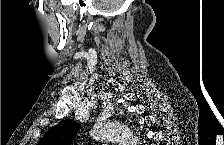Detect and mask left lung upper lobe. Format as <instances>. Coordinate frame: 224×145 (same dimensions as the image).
Instances as JSON below:
<instances>
[{"label": "left lung upper lobe", "instance_id": "5c2ea615", "mask_svg": "<svg viewBox=\"0 0 224 145\" xmlns=\"http://www.w3.org/2000/svg\"><path fill=\"white\" fill-rule=\"evenodd\" d=\"M79 128L80 125L76 122L62 121L43 136L39 145H70Z\"/></svg>", "mask_w": 224, "mask_h": 145}]
</instances>
